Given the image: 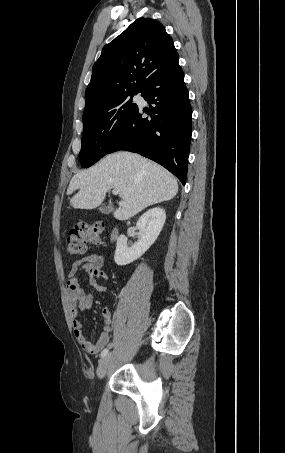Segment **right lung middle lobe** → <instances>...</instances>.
Segmentation results:
<instances>
[{"label": "right lung middle lobe", "instance_id": "1", "mask_svg": "<svg viewBox=\"0 0 285 453\" xmlns=\"http://www.w3.org/2000/svg\"><path fill=\"white\" fill-rule=\"evenodd\" d=\"M132 94L112 98L83 113V137L79 158L88 168L109 153L139 109Z\"/></svg>", "mask_w": 285, "mask_h": 453}]
</instances>
